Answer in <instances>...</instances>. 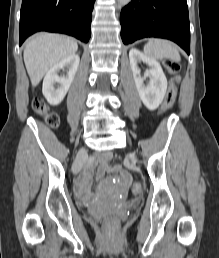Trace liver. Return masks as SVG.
<instances>
[{
  "label": "liver",
  "mask_w": 219,
  "mask_h": 258,
  "mask_svg": "<svg viewBox=\"0 0 219 258\" xmlns=\"http://www.w3.org/2000/svg\"><path fill=\"white\" fill-rule=\"evenodd\" d=\"M77 42L63 35L38 33L30 38L24 49V63L33 87L55 64L74 55Z\"/></svg>",
  "instance_id": "liver-1"
}]
</instances>
